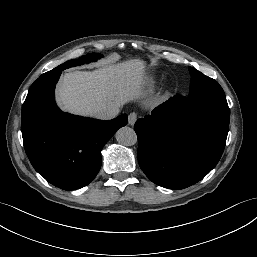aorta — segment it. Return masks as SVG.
I'll return each instance as SVG.
<instances>
[{"mask_svg":"<svg viewBox=\"0 0 257 257\" xmlns=\"http://www.w3.org/2000/svg\"><path fill=\"white\" fill-rule=\"evenodd\" d=\"M116 140L125 146H132L137 143V135L130 127H122L116 132Z\"/></svg>","mask_w":257,"mask_h":257,"instance_id":"762f6f07","label":"aorta"}]
</instances>
